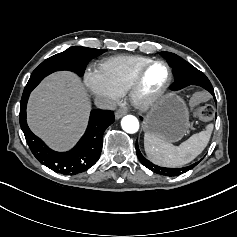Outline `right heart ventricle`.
Returning a JSON list of instances; mask_svg holds the SVG:
<instances>
[{
	"label": "right heart ventricle",
	"mask_w": 237,
	"mask_h": 237,
	"mask_svg": "<svg viewBox=\"0 0 237 237\" xmlns=\"http://www.w3.org/2000/svg\"><path fill=\"white\" fill-rule=\"evenodd\" d=\"M149 61V58L143 56L120 55L107 58L100 64V68L119 93L125 94L138 72Z\"/></svg>",
	"instance_id": "1"
}]
</instances>
